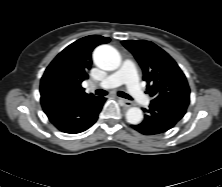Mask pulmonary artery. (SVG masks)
I'll list each match as a JSON object with an SVG mask.
<instances>
[{
	"label": "pulmonary artery",
	"instance_id": "1",
	"mask_svg": "<svg viewBox=\"0 0 222 187\" xmlns=\"http://www.w3.org/2000/svg\"><path fill=\"white\" fill-rule=\"evenodd\" d=\"M121 84H126L128 92L136 99V101L143 105H148L150 98L143 92L139 75L135 65L131 61H124L122 66L106 79L98 83L104 88L116 87Z\"/></svg>",
	"mask_w": 222,
	"mask_h": 187
}]
</instances>
